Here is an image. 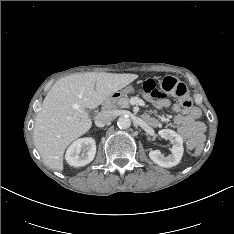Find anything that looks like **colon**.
<instances>
[{"label": "colon", "mask_w": 234, "mask_h": 234, "mask_svg": "<svg viewBox=\"0 0 234 234\" xmlns=\"http://www.w3.org/2000/svg\"><path fill=\"white\" fill-rule=\"evenodd\" d=\"M142 89L144 94L151 97L172 95L179 100L181 106L184 108H190L192 105V99L188 94L186 86L173 77H165L160 83V90L157 88L153 79H145L142 82ZM191 148L194 149L195 154H200L202 151L200 145H194Z\"/></svg>", "instance_id": "5ec220e1"}]
</instances>
